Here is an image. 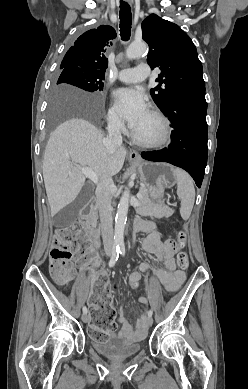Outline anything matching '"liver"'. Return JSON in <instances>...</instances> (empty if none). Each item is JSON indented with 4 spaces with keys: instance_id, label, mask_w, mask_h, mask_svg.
I'll return each mask as SVG.
<instances>
[{
    "instance_id": "6515ba94",
    "label": "liver",
    "mask_w": 248,
    "mask_h": 389,
    "mask_svg": "<svg viewBox=\"0 0 248 389\" xmlns=\"http://www.w3.org/2000/svg\"><path fill=\"white\" fill-rule=\"evenodd\" d=\"M55 97L60 106L94 102L93 96L70 87L57 89ZM104 140L102 133L83 118L67 120L51 133L42 167L51 216L72 203L84 186L85 176L77 165L91 168L99 178L120 172L127 151L119 147L110 153Z\"/></svg>"
}]
</instances>
